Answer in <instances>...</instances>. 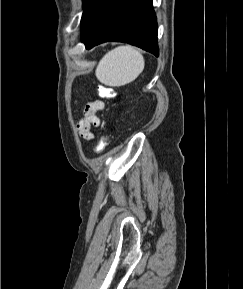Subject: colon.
<instances>
[{
    "label": "colon",
    "instance_id": "1",
    "mask_svg": "<svg viewBox=\"0 0 243 289\" xmlns=\"http://www.w3.org/2000/svg\"><path fill=\"white\" fill-rule=\"evenodd\" d=\"M98 93L104 99H110V98H113L115 96V91L113 88L107 87V86H102V85L98 86ZM107 143H108V136L103 135L100 138L95 151L97 153L103 152L107 146Z\"/></svg>",
    "mask_w": 243,
    "mask_h": 289
}]
</instances>
